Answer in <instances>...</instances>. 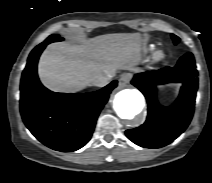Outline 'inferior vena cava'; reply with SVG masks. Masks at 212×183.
I'll return each instance as SVG.
<instances>
[{
    "instance_id": "inferior-vena-cava-1",
    "label": "inferior vena cava",
    "mask_w": 212,
    "mask_h": 183,
    "mask_svg": "<svg viewBox=\"0 0 212 183\" xmlns=\"http://www.w3.org/2000/svg\"><path fill=\"white\" fill-rule=\"evenodd\" d=\"M114 75L115 73L110 71L99 73L93 77L92 84L97 87H104L109 84Z\"/></svg>"
}]
</instances>
